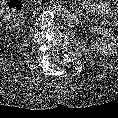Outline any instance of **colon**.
Listing matches in <instances>:
<instances>
[{
  "instance_id": "colon-1",
  "label": "colon",
  "mask_w": 118,
  "mask_h": 118,
  "mask_svg": "<svg viewBox=\"0 0 118 118\" xmlns=\"http://www.w3.org/2000/svg\"><path fill=\"white\" fill-rule=\"evenodd\" d=\"M118 5V0H117ZM22 19V3L19 0L10 2L6 14L4 16V23L7 27H17Z\"/></svg>"
}]
</instances>
